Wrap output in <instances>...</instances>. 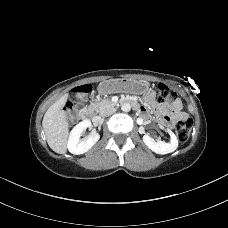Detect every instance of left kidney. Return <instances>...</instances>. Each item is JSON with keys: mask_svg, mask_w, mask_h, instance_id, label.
Wrapping results in <instances>:
<instances>
[{"mask_svg": "<svg viewBox=\"0 0 228 228\" xmlns=\"http://www.w3.org/2000/svg\"><path fill=\"white\" fill-rule=\"evenodd\" d=\"M167 132L170 135V142L156 141L149 134L143 136V142L157 154L164 155L174 152L178 147V139L170 129H167Z\"/></svg>", "mask_w": 228, "mask_h": 228, "instance_id": "1", "label": "left kidney"}]
</instances>
